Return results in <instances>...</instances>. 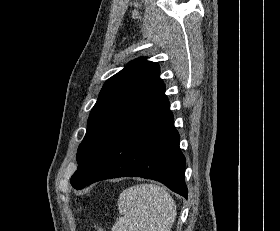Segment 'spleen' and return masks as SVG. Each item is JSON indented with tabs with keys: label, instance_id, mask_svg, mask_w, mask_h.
<instances>
[{
	"label": "spleen",
	"instance_id": "obj_1",
	"mask_svg": "<svg viewBox=\"0 0 280 231\" xmlns=\"http://www.w3.org/2000/svg\"><path fill=\"white\" fill-rule=\"evenodd\" d=\"M122 215L113 231H170L176 217V205L166 187L140 183L127 187L119 195Z\"/></svg>",
	"mask_w": 280,
	"mask_h": 231
}]
</instances>
